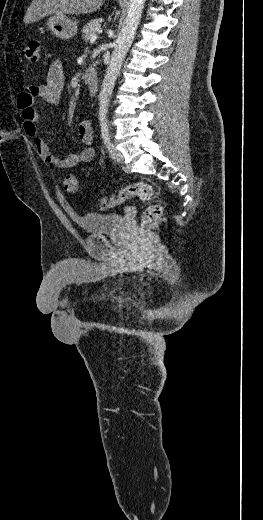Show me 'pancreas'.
I'll return each instance as SVG.
<instances>
[{"mask_svg": "<svg viewBox=\"0 0 263 520\" xmlns=\"http://www.w3.org/2000/svg\"><path fill=\"white\" fill-rule=\"evenodd\" d=\"M100 21L99 19L91 20L87 23L82 29V37L87 42L90 40L92 35H95L100 29Z\"/></svg>", "mask_w": 263, "mask_h": 520, "instance_id": "pancreas-1", "label": "pancreas"}]
</instances>
